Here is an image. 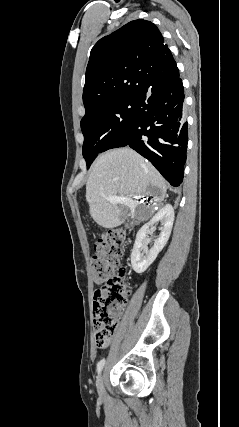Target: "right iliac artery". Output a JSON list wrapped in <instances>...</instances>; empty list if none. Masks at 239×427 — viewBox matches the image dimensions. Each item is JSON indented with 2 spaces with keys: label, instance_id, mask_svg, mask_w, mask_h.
<instances>
[{
  "label": "right iliac artery",
  "instance_id": "1",
  "mask_svg": "<svg viewBox=\"0 0 239 427\" xmlns=\"http://www.w3.org/2000/svg\"><path fill=\"white\" fill-rule=\"evenodd\" d=\"M104 364H105V359H102V360H100L99 362H98V364H97V372L98 373H100L101 372V370L103 369V367H104Z\"/></svg>",
  "mask_w": 239,
  "mask_h": 427
}]
</instances>
